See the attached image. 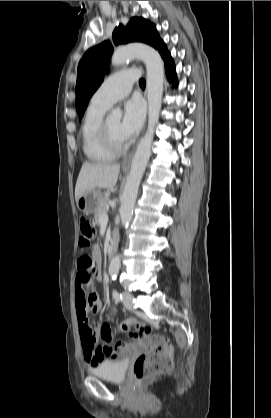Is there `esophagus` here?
Returning <instances> with one entry per match:
<instances>
[{
  "label": "esophagus",
  "mask_w": 271,
  "mask_h": 418,
  "mask_svg": "<svg viewBox=\"0 0 271 418\" xmlns=\"http://www.w3.org/2000/svg\"><path fill=\"white\" fill-rule=\"evenodd\" d=\"M132 157H133V152L130 153L123 161V167H128L131 164L132 161Z\"/></svg>",
  "instance_id": "34e87169"
}]
</instances>
